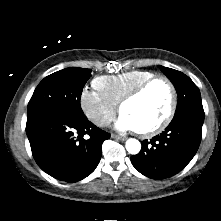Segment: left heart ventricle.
Returning <instances> with one entry per match:
<instances>
[{
  "label": "left heart ventricle",
  "instance_id": "1",
  "mask_svg": "<svg viewBox=\"0 0 221 221\" xmlns=\"http://www.w3.org/2000/svg\"><path fill=\"white\" fill-rule=\"evenodd\" d=\"M170 93L163 82L152 84L141 96L124 105L122 112L136 124L137 130H145L158 124L166 115Z\"/></svg>",
  "mask_w": 221,
  "mask_h": 221
}]
</instances>
